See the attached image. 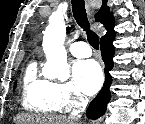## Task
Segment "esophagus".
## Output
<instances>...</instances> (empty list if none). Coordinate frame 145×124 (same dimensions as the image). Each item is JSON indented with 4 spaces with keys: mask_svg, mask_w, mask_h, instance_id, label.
I'll use <instances>...</instances> for the list:
<instances>
[{
    "mask_svg": "<svg viewBox=\"0 0 145 124\" xmlns=\"http://www.w3.org/2000/svg\"><path fill=\"white\" fill-rule=\"evenodd\" d=\"M85 2H86L87 11L90 12V10H91L90 7H91V6L94 7V5L92 4L93 0H86Z\"/></svg>",
    "mask_w": 145,
    "mask_h": 124,
    "instance_id": "esophagus-1",
    "label": "esophagus"
}]
</instances>
